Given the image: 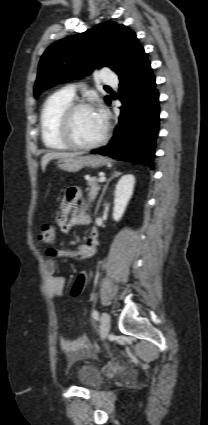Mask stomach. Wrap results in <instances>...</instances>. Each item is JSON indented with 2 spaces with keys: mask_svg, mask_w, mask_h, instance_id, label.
<instances>
[{
  "mask_svg": "<svg viewBox=\"0 0 208 425\" xmlns=\"http://www.w3.org/2000/svg\"><path fill=\"white\" fill-rule=\"evenodd\" d=\"M109 160L98 155H87L61 158L58 161V167L69 173H76L84 167L98 168L107 164Z\"/></svg>",
  "mask_w": 208,
  "mask_h": 425,
  "instance_id": "0dacf381",
  "label": "stomach"
}]
</instances>
